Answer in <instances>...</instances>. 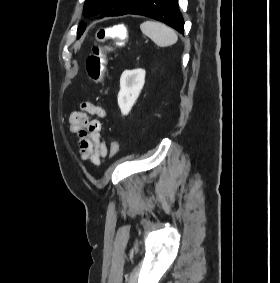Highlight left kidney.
Here are the masks:
<instances>
[{"label":"left kidney","instance_id":"left-kidney-1","mask_svg":"<svg viewBox=\"0 0 280 283\" xmlns=\"http://www.w3.org/2000/svg\"><path fill=\"white\" fill-rule=\"evenodd\" d=\"M145 70H126L120 78L118 105L123 115H127L139 97L145 83Z\"/></svg>","mask_w":280,"mask_h":283}]
</instances>
